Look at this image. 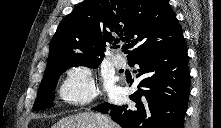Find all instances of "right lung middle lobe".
Segmentation results:
<instances>
[{
	"label": "right lung middle lobe",
	"mask_w": 221,
	"mask_h": 128,
	"mask_svg": "<svg viewBox=\"0 0 221 128\" xmlns=\"http://www.w3.org/2000/svg\"><path fill=\"white\" fill-rule=\"evenodd\" d=\"M100 60H81L72 59L65 62H61L54 65H49L46 67L43 80L39 86L38 96L34 103V110H43L45 108L53 106L54 100V90L59 79V76L67 69L73 66H88L91 68H96L100 64Z\"/></svg>",
	"instance_id": "dd1d6c3e"
}]
</instances>
